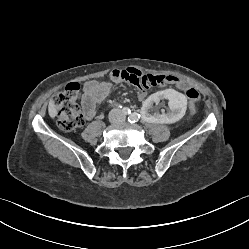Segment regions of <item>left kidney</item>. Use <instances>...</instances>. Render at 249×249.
Returning <instances> with one entry per match:
<instances>
[{"instance_id": "obj_1", "label": "left kidney", "mask_w": 249, "mask_h": 249, "mask_svg": "<svg viewBox=\"0 0 249 249\" xmlns=\"http://www.w3.org/2000/svg\"><path fill=\"white\" fill-rule=\"evenodd\" d=\"M186 108V97L173 89H167L147 97L139 115L149 125L168 124L181 119Z\"/></svg>"}]
</instances>
